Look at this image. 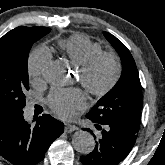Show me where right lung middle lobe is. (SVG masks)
Here are the masks:
<instances>
[{
  "label": "right lung middle lobe",
  "mask_w": 165,
  "mask_h": 165,
  "mask_svg": "<svg viewBox=\"0 0 165 165\" xmlns=\"http://www.w3.org/2000/svg\"><path fill=\"white\" fill-rule=\"evenodd\" d=\"M49 32V28L23 26L0 38V117L23 112L24 93L29 90V51Z\"/></svg>",
  "instance_id": "dd1d6c3e"
}]
</instances>
